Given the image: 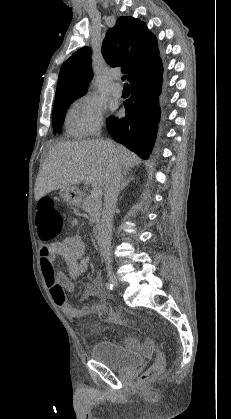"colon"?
Listing matches in <instances>:
<instances>
[{"label": "colon", "mask_w": 231, "mask_h": 419, "mask_svg": "<svg viewBox=\"0 0 231 419\" xmlns=\"http://www.w3.org/2000/svg\"><path fill=\"white\" fill-rule=\"evenodd\" d=\"M62 215L52 198L43 197L38 205L37 225L40 238L43 241H51L55 239L62 229ZM84 313H97L103 321L115 324H126L128 320L121 315L112 311L109 306L85 307L82 309ZM164 369V361L162 357H158L154 364L147 369L141 376V383L147 384L155 377L160 375Z\"/></svg>", "instance_id": "colon-1"}]
</instances>
